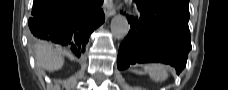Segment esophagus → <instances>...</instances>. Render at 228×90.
Wrapping results in <instances>:
<instances>
[{
  "label": "esophagus",
  "mask_w": 228,
  "mask_h": 90,
  "mask_svg": "<svg viewBox=\"0 0 228 90\" xmlns=\"http://www.w3.org/2000/svg\"><path fill=\"white\" fill-rule=\"evenodd\" d=\"M104 13L107 18L112 17L116 13L115 6L113 5L112 1L106 0L103 5Z\"/></svg>",
  "instance_id": "esophagus-1"
}]
</instances>
